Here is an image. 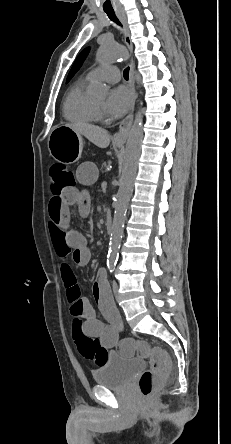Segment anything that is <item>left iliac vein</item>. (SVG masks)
Returning a JSON list of instances; mask_svg holds the SVG:
<instances>
[{
	"mask_svg": "<svg viewBox=\"0 0 231 444\" xmlns=\"http://www.w3.org/2000/svg\"><path fill=\"white\" fill-rule=\"evenodd\" d=\"M118 288L119 287H118L117 282H113V293H114L115 297H118V295H119Z\"/></svg>",
	"mask_w": 231,
	"mask_h": 444,
	"instance_id": "obj_1",
	"label": "left iliac vein"
}]
</instances>
